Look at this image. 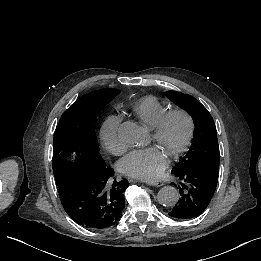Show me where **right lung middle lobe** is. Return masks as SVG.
I'll return each instance as SVG.
<instances>
[{
  "label": "right lung middle lobe",
  "mask_w": 261,
  "mask_h": 261,
  "mask_svg": "<svg viewBox=\"0 0 261 261\" xmlns=\"http://www.w3.org/2000/svg\"><path fill=\"white\" fill-rule=\"evenodd\" d=\"M119 93L118 89L111 88L90 92L63 113L53 139L52 166L57 184L76 168L94 169L104 165L98 152L94 123L104 106ZM74 151L75 161H67V156Z\"/></svg>",
  "instance_id": "1"
}]
</instances>
